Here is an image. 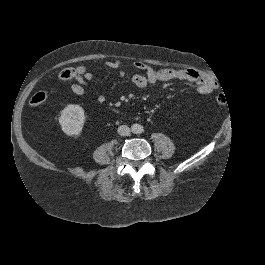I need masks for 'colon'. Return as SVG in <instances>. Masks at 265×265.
Wrapping results in <instances>:
<instances>
[{
    "mask_svg": "<svg viewBox=\"0 0 265 265\" xmlns=\"http://www.w3.org/2000/svg\"><path fill=\"white\" fill-rule=\"evenodd\" d=\"M77 73L78 68H66L58 73V78L61 80H69L76 76ZM46 98L47 94L44 91H39L31 97L30 103L32 106H40L46 101ZM216 100L219 104H224L226 103V96L224 93H220L217 95Z\"/></svg>",
    "mask_w": 265,
    "mask_h": 265,
    "instance_id": "obj_1",
    "label": "colon"
}]
</instances>
